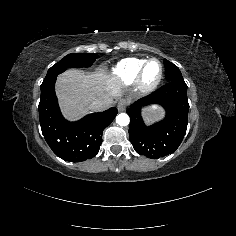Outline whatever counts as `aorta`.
Here are the masks:
<instances>
[{
	"label": "aorta",
	"mask_w": 236,
	"mask_h": 236,
	"mask_svg": "<svg viewBox=\"0 0 236 236\" xmlns=\"http://www.w3.org/2000/svg\"><path fill=\"white\" fill-rule=\"evenodd\" d=\"M116 123L121 126H126L129 124V116L126 113H119L116 116Z\"/></svg>",
	"instance_id": "762f6f07"
}]
</instances>
